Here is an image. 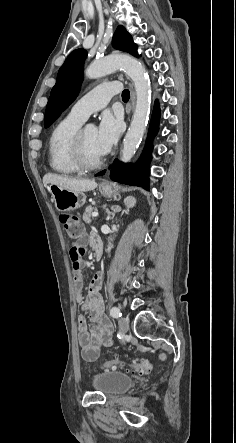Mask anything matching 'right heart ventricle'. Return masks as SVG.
<instances>
[{
    "label": "right heart ventricle",
    "instance_id": "e07e8e85",
    "mask_svg": "<svg viewBox=\"0 0 236 443\" xmlns=\"http://www.w3.org/2000/svg\"><path fill=\"white\" fill-rule=\"evenodd\" d=\"M82 122L68 114L52 130L48 141V160L55 172L71 175L80 171L71 158L70 145Z\"/></svg>",
    "mask_w": 236,
    "mask_h": 443
}]
</instances>
